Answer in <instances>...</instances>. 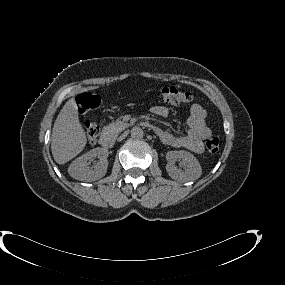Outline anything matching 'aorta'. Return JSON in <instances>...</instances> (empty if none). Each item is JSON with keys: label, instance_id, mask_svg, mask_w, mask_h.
I'll use <instances>...</instances> for the list:
<instances>
[{"label": "aorta", "instance_id": "1", "mask_svg": "<svg viewBox=\"0 0 285 285\" xmlns=\"http://www.w3.org/2000/svg\"><path fill=\"white\" fill-rule=\"evenodd\" d=\"M131 136L132 138L134 139H142L143 136H144V132L141 128L139 127H134L132 130H131Z\"/></svg>", "mask_w": 285, "mask_h": 285}]
</instances>
